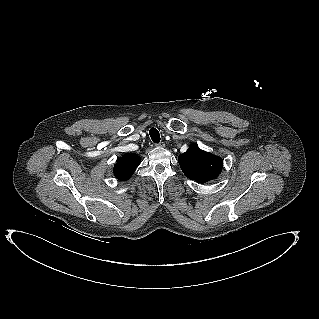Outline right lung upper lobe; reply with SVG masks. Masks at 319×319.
<instances>
[{
    "mask_svg": "<svg viewBox=\"0 0 319 319\" xmlns=\"http://www.w3.org/2000/svg\"><path fill=\"white\" fill-rule=\"evenodd\" d=\"M139 156L136 154H125L117 160L114 167V175L118 180L125 181L133 174L140 164Z\"/></svg>",
    "mask_w": 319,
    "mask_h": 319,
    "instance_id": "obj_1",
    "label": "right lung upper lobe"
}]
</instances>
